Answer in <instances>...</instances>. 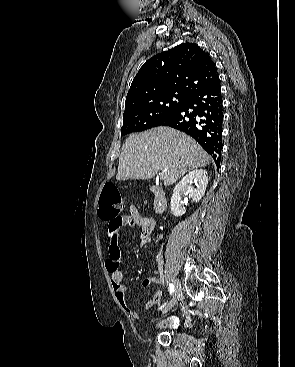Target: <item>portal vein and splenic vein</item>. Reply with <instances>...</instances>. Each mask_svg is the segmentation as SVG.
Instances as JSON below:
<instances>
[{
	"label": "portal vein and splenic vein",
	"instance_id": "18ae733b",
	"mask_svg": "<svg viewBox=\"0 0 295 367\" xmlns=\"http://www.w3.org/2000/svg\"><path fill=\"white\" fill-rule=\"evenodd\" d=\"M159 176H160V178H161V179H165V178H166V170L161 171V172L159 173Z\"/></svg>",
	"mask_w": 295,
	"mask_h": 367
}]
</instances>
